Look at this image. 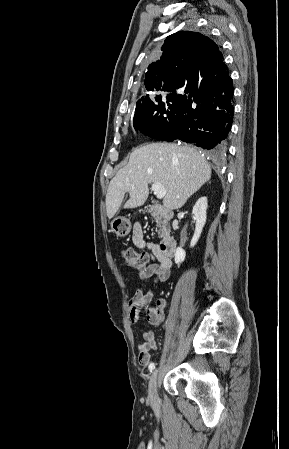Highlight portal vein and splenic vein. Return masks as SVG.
<instances>
[{"label": "portal vein and splenic vein", "mask_w": 289, "mask_h": 449, "mask_svg": "<svg viewBox=\"0 0 289 449\" xmlns=\"http://www.w3.org/2000/svg\"><path fill=\"white\" fill-rule=\"evenodd\" d=\"M152 191L158 199H162L166 195V189L160 183H154L151 187Z\"/></svg>", "instance_id": "obj_1"}]
</instances>
